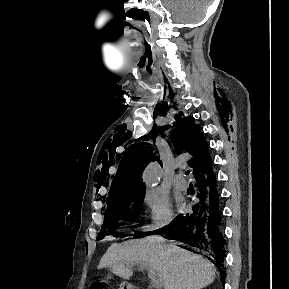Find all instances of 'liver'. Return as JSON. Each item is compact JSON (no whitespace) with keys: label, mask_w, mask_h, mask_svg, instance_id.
Listing matches in <instances>:
<instances>
[{"label":"liver","mask_w":289,"mask_h":289,"mask_svg":"<svg viewBox=\"0 0 289 289\" xmlns=\"http://www.w3.org/2000/svg\"><path fill=\"white\" fill-rule=\"evenodd\" d=\"M137 262L156 271L164 289H202L215 280L210 261L155 237L112 244L98 267L110 268L117 276L129 279L133 274L129 265Z\"/></svg>","instance_id":"1"}]
</instances>
